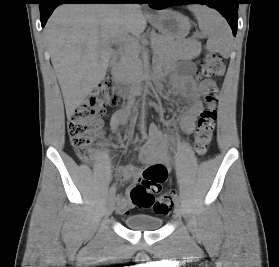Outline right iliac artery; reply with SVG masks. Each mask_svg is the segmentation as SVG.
Here are the masks:
<instances>
[{
    "label": "right iliac artery",
    "mask_w": 279,
    "mask_h": 267,
    "mask_svg": "<svg viewBox=\"0 0 279 267\" xmlns=\"http://www.w3.org/2000/svg\"><path fill=\"white\" fill-rule=\"evenodd\" d=\"M115 193H116V187H115V185H112V186L110 187V190H109V196H110V197H114V196H115Z\"/></svg>",
    "instance_id": "obj_1"
}]
</instances>
